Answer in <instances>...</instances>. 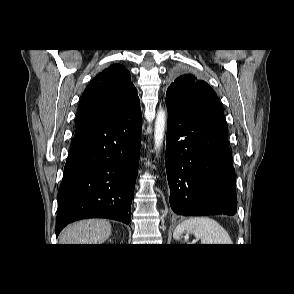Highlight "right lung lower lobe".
I'll return each mask as SVG.
<instances>
[{
    "mask_svg": "<svg viewBox=\"0 0 294 294\" xmlns=\"http://www.w3.org/2000/svg\"><path fill=\"white\" fill-rule=\"evenodd\" d=\"M140 139L139 102L112 119L76 127L58 191L56 236L80 219L130 223Z\"/></svg>",
    "mask_w": 294,
    "mask_h": 294,
    "instance_id": "right-lung-lower-lobe-1",
    "label": "right lung lower lobe"
}]
</instances>
